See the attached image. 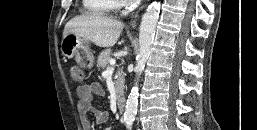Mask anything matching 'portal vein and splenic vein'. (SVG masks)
Segmentation results:
<instances>
[{"label": "portal vein and splenic vein", "instance_id": "obj_1", "mask_svg": "<svg viewBox=\"0 0 257 130\" xmlns=\"http://www.w3.org/2000/svg\"><path fill=\"white\" fill-rule=\"evenodd\" d=\"M111 67L107 68L106 73H110L114 70V66L116 65V61L114 59L110 60Z\"/></svg>", "mask_w": 257, "mask_h": 130}]
</instances>
